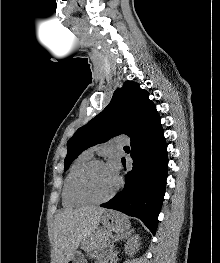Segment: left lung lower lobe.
I'll list each match as a JSON object with an SVG mask.
<instances>
[{
	"label": "left lung lower lobe",
	"instance_id": "1",
	"mask_svg": "<svg viewBox=\"0 0 220 263\" xmlns=\"http://www.w3.org/2000/svg\"><path fill=\"white\" fill-rule=\"evenodd\" d=\"M131 157L133 168L126 174L124 189L100 206L138 217L155 234L168 167L167 145L160 117L131 140ZM122 164L125 167L124 158Z\"/></svg>",
	"mask_w": 220,
	"mask_h": 263
}]
</instances>
